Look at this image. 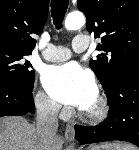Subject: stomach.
<instances>
[{
  "label": "stomach",
  "mask_w": 139,
  "mask_h": 150,
  "mask_svg": "<svg viewBox=\"0 0 139 150\" xmlns=\"http://www.w3.org/2000/svg\"><path fill=\"white\" fill-rule=\"evenodd\" d=\"M89 150H115V149L113 145L105 143V144H99L97 146H94Z\"/></svg>",
  "instance_id": "1"
}]
</instances>
